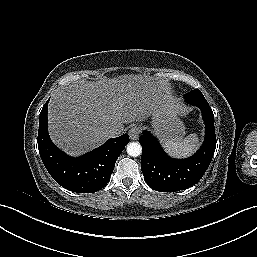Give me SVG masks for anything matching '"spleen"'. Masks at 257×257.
<instances>
[{
  "label": "spleen",
  "instance_id": "3e777b00",
  "mask_svg": "<svg viewBox=\"0 0 257 257\" xmlns=\"http://www.w3.org/2000/svg\"><path fill=\"white\" fill-rule=\"evenodd\" d=\"M199 138L190 134L185 138H178L165 143V150L173 157L185 158L193 154L199 147Z\"/></svg>",
  "mask_w": 257,
  "mask_h": 257
}]
</instances>
